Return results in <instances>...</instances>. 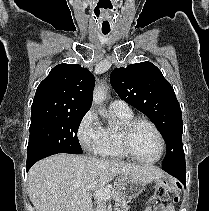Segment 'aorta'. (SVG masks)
<instances>
[{"label":"aorta","instance_id":"1","mask_svg":"<svg viewBox=\"0 0 209 211\" xmlns=\"http://www.w3.org/2000/svg\"><path fill=\"white\" fill-rule=\"evenodd\" d=\"M106 87L104 84H99L95 87L93 92V103L96 105H101L106 97ZM102 116H105V111H100Z\"/></svg>","mask_w":209,"mask_h":211}]
</instances>
